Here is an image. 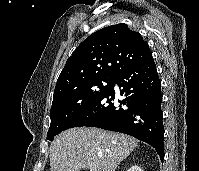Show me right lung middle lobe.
<instances>
[{
  "label": "right lung middle lobe",
  "instance_id": "obj_1",
  "mask_svg": "<svg viewBox=\"0 0 199 171\" xmlns=\"http://www.w3.org/2000/svg\"><path fill=\"white\" fill-rule=\"evenodd\" d=\"M115 78L113 76L98 77L86 81L53 101L47 139L53 140L80 111L104 93L112 85Z\"/></svg>",
  "mask_w": 199,
  "mask_h": 171
}]
</instances>
